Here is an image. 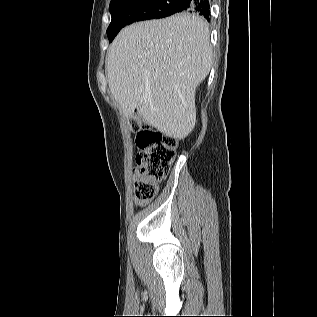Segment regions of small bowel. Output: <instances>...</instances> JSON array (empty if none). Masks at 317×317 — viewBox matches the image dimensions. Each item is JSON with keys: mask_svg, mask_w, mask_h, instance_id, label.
I'll return each instance as SVG.
<instances>
[{"mask_svg": "<svg viewBox=\"0 0 317 317\" xmlns=\"http://www.w3.org/2000/svg\"><path fill=\"white\" fill-rule=\"evenodd\" d=\"M136 205H140L141 202L139 200H135Z\"/></svg>", "mask_w": 317, "mask_h": 317, "instance_id": "1", "label": "small bowel"}]
</instances>
